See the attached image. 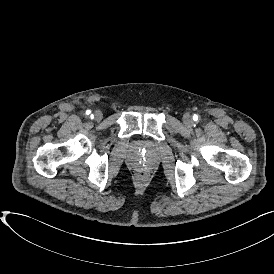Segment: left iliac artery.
Segmentation results:
<instances>
[{
	"instance_id": "1",
	"label": "left iliac artery",
	"mask_w": 274,
	"mask_h": 274,
	"mask_svg": "<svg viewBox=\"0 0 274 274\" xmlns=\"http://www.w3.org/2000/svg\"><path fill=\"white\" fill-rule=\"evenodd\" d=\"M193 120H194V121H197V120H198V115L194 114V115H193Z\"/></svg>"
}]
</instances>
